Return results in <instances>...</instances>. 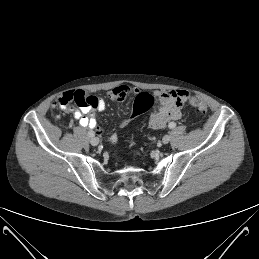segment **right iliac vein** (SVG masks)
Wrapping results in <instances>:
<instances>
[{
    "label": "right iliac vein",
    "mask_w": 259,
    "mask_h": 259,
    "mask_svg": "<svg viewBox=\"0 0 259 259\" xmlns=\"http://www.w3.org/2000/svg\"><path fill=\"white\" fill-rule=\"evenodd\" d=\"M90 143H91V145H93V146H97V145L99 144V139L96 138V137H91Z\"/></svg>",
    "instance_id": "right-iliac-vein-1"
}]
</instances>
